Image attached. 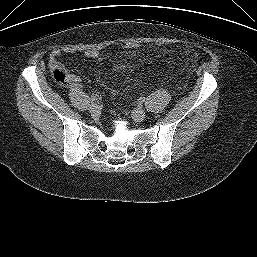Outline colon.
I'll return each instance as SVG.
<instances>
[{"label":"colon","instance_id":"obj_1","mask_svg":"<svg viewBox=\"0 0 257 257\" xmlns=\"http://www.w3.org/2000/svg\"><path fill=\"white\" fill-rule=\"evenodd\" d=\"M121 46L126 49L134 50L138 49L140 44L135 41L126 40L121 43ZM52 77L57 84L62 86L68 85L70 82L69 75L60 67L52 69Z\"/></svg>","mask_w":257,"mask_h":257}]
</instances>
